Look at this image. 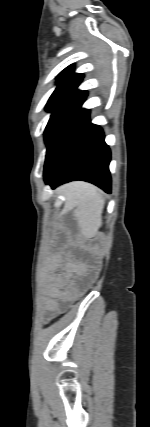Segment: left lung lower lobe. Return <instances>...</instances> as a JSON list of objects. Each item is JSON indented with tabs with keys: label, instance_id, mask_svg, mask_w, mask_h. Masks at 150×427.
Listing matches in <instances>:
<instances>
[{
	"label": "left lung lower lobe",
	"instance_id": "left-lung-lower-lobe-1",
	"mask_svg": "<svg viewBox=\"0 0 150 427\" xmlns=\"http://www.w3.org/2000/svg\"><path fill=\"white\" fill-rule=\"evenodd\" d=\"M86 92L52 116L45 130L47 154L44 180L58 185L83 180L111 192L110 150L102 129L91 124L89 110L82 109Z\"/></svg>",
	"mask_w": 150,
	"mask_h": 427
}]
</instances>
